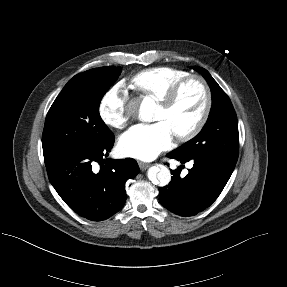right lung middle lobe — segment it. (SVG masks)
Segmentation results:
<instances>
[{
  "label": "right lung middle lobe",
  "instance_id": "dd1d6c3e",
  "mask_svg": "<svg viewBox=\"0 0 287 287\" xmlns=\"http://www.w3.org/2000/svg\"><path fill=\"white\" fill-rule=\"evenodd\" d=\"M121 71L114 66L91 69L64 86L46 116L42 136L45 160L99 146L113 135L99 115V105Z\"/></svg>",
  "mask_w": 287,
  "mask_h": 287
}]
</instances>
